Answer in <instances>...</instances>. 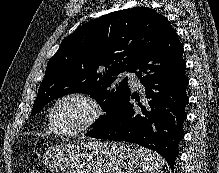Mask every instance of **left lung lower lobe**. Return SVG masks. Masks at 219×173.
<instances>
[{
	"mask_svg": "<svg viewBox=\"0 0 219 173\" xmlns=\"http://www.w3.org/2000/svg\"><path fill=\"white\" fill-rule=\"evenodd\" d=\"M182 53L183 46L174 30L142 55L132 72L145 87L147 100L131 104L129 101L134 96L129 93L118 103L108 121L87 136L128 141L154 150L166 159L173 171L187 118L188 79Z\"/></svg>",
	"mask_w": 219,
	"mask_h": 173,
	"instance_id": "1",
	"label": "left lung lower lobe"
}]
</instances>
